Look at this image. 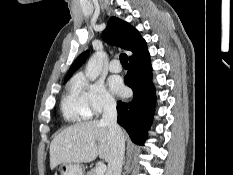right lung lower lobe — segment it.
Instances as JSON below:
<instances>
[{"label":"right lung lower lobe","instance_id":"obj_1","mask_svg":"<svg viewBox=\"0 0 233 175\" xmlns=\"http://www.w3.org/2000/svg\"><path fill=\"white\" fill-rule=\"evenodd\" d=\"M129 61L130 68L124 81L133 90L134 97L130 102H118L117 121L128 132L134 143L142 144L147 138L155 105L149 53L146 51Z\"/></svg>","mask_w":233,"mask_h":175}]
</instances>
